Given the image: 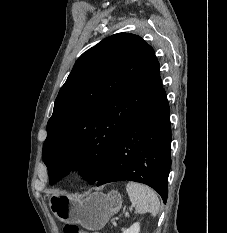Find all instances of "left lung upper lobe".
<instances>
[{"mask_svg":"<svg viewBox=\"0 0 227 233\" xmlns=\"http://www.w3.org/2000/svg\"><path fill=\"white\" fill-rule=\"evenodd\" d=\"M161 90L154 50L137 35L114 34L83 53L47 123L50 184L71 170L98 182L124 129Z\"/></svg>","mask_w":227,"mask_h":233,"instance_id":"obj_1","label":"left lung upper lobe"}]
</instances>
